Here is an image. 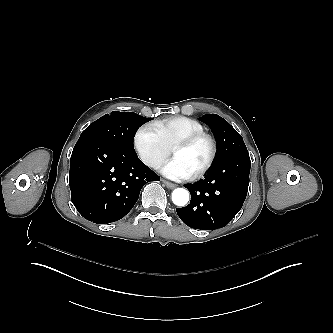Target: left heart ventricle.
Here are the masks:
<instances>
[{"label":"left heart ventricle","mask_w":333,"mask_h":333,"mask_svg":"<svg viewBox=\"0 0 333 333\" xmlns=\"http://www.w3.org/2000/svg\"><path fill=\"white\" fill-rule=\"evenodd\" d=\"M208 155L209 145L206 141L188 148H177L171 152V158L178 160L191 175L206 161Z\"/></svg>","instance_id":"1"}]
</instances>
